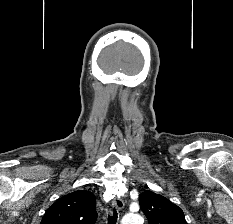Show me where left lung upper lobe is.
<instances>
[{
    "mask_svg": "<svg viewBox=\"0 0 233 224\" xmlns=\"http://www.w3.org/2000/svg\"><path fill=\"white\" fill-rule=\"evenodd\" d=\"M139 202L149 224H187L181 208L159 194L146 190Z\"/></svg>",
    "mask_w": 233,
    "mask_h": 224,
    "instance_id": "5c2ea615",
    "label": "left lung upper lobe"
}]
</instances>
